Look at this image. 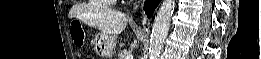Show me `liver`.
Returning a JSON list of instances; mask_svg holds the SVG:
<instances>
[{"label": "liver", "mask_w": 261, "mask_h": 59, "mask_svg": "<svg viewBox=\"0 0 261 59\" xmlns=\"http://www.w3.org/2000/svg\"><path fill=\"white\" fill-rule=\"evenodd\" d=\"M91 27L98 28L103 35L117 36L127 26L128 18L124 13L117 11H101L83 18Z\"/></svg>", "instance_id": "obj_1"}]
</instances>
